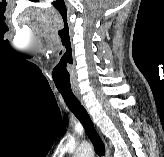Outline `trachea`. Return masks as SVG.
I'll return each mask as SVG.
<instances>
[{"instance_id":"obj_1","label":"trachea","mask_w":164,"mask_h":157,"mask_svg":"<svg viewBox=\"0 0 164 157\" xmlns=\"http://www.w3.org/2000/svg\"><path fill=\"white\" fill-rule=\"evenodd\" d=\"M58 91L61 93L66 105L83 125L88 138L93 143L95 152L102 157L105 154V147L87 111L71 89H58Z\"/></svg>"}]
</instances>
